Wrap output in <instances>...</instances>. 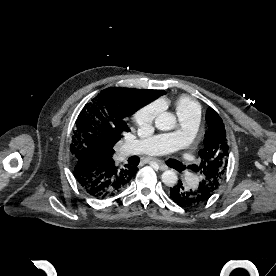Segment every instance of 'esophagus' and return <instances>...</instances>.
Instances as JSON below:
<instances>
[{
    "instance_id": "1",
    "label": "esophagus",
    "mask_w": 276,
    "mask_h": 276,
    "mask_svg": "<svg viewBox=\"0 0 276 276\" xmlns=\"http://www.w3.org/2000/svg\"><path fill=\"white\" fill-rule=\"evenodd\" d=\"M149 161L150 162H156L159 166V169L164 171V170H167L168 169V166L165 165L163 162H161L160 160H157V159H152V158H149Z\"/></svg>"
}]
</instances>
